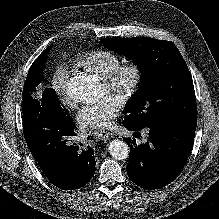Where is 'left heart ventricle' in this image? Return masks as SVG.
Segmentation results:
<instances>
[{
	"mask_svg": "<svg viewBox=\"0 0 219 219\" xmlns=\"http://www.w3.org/2000/svg\"><path fill=\"white\" fill-rule=\"evenodd\" d=\"M127 83H128V77H125L122 81V84L120 85L119 91L124 90ZM102 88H103V94L108 93V91H107L106 87L104 86V84L102 85ZM111 95L114 96L116 99H118L119 93H111Z\"/></svg>",
	"mask_w": 219,
	"mask_h": 219,
	"instance_id": "left-heart-ventricle-1",
	"label": "left heart ventricle"
}]
</instances>
